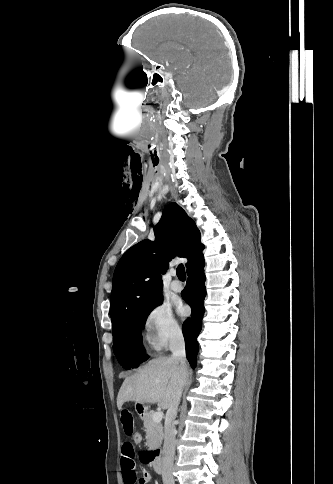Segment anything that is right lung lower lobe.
<instances>
[{"label": "right lung lower lobe", "mask_w": 333, "mask_h": 484, "mask_svg": "<svg viewBox=\"0 0 333 484\" xmlns=\"http://www.w3.org/2000/svg\"><path fill=\"white\" fill-rule=\"evenodd\" d=\"M188 281L185 288L184 300L192 309L191 317L184 321L182 330L185 339L187 359L195 368L198 353V342L196 340L202 328V317L204 313L205 275L204 260L187 271Z\"/></svg>", "instance_id": "right-lung-lower-lobe-1"}]
</instances>
